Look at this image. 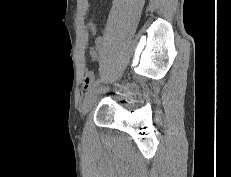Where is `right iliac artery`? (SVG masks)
Masks as SVG:
<instances>
[{
    "label": "right iliac artery",
    "mask_w": 231,
    "mask_h": 177,
    "mask_svg": "<svg viewBox=\"0 0 231 177\" xmlns=\"http://www.w3.org/2000/svg\"><path fill=\"white\" fill-rule=\"evenodd\" d=\"M99 83V79L97 81H95L91 86H90V90H92L93 88H95L97 86V84Z\"/></svg>",
    "instance_id": "1"
}]
</instances>
